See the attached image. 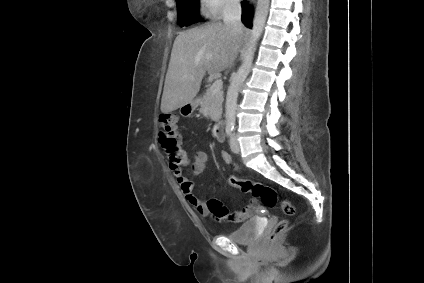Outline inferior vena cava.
Returning a JSON list of instances; mask_svg holds the SVG:
<instances>
[{
  "mask_svg": "<svg viewBox=\"0 0 424 283\" xmlns=\"http://www.w3.org/2000/svg\"><path fill=\"white\" fill-rule=\"evenodd\" d=\"M241 13L240 0H228L224 7L223 21L235 34L242 33Z\"/></svg>",
  "mask_w": 424,
  "mask_h": 283,
  "instance_id": "obj_1",
  "label": "inferior vena cava"
}]
</instances>
